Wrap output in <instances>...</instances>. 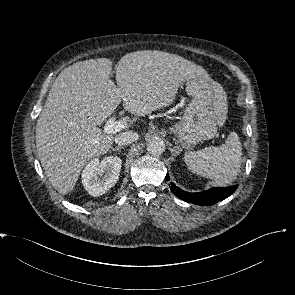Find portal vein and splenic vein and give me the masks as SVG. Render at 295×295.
<instances>
[{"mask_svg":"<svg viewBox=\"0 0 295 295\" xmlns=\"http://www.w3.org/2000/svg\"><path fill=\"white\" fill-rule=\"evenodd\" d=\"M125 128V124L122 121H116L115 117L108 119L104 127V133L115 134Z\"/></svg>","mask_w":295,"mask_h":295,"instance_id":"obj_1","label":"portal vein and splenic vein"}]
</instances>
